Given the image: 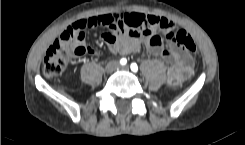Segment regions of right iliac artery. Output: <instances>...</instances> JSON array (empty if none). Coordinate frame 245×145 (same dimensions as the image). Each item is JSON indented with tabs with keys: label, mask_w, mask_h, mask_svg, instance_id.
I'll return each instance as SVG.
<instances>
[{
	"label": "right iliac artery",
	"mask_w": 245,
	"mask_h": 145,
	"mask_svg": "<svg viewBox=\"0 0 245 145\" xmlns=\"http://www.w3.org/2000/svg\"><path fill=\"white\" fill-rule=\"evenodd\" d=\"M126 63H127V60H126L125 58H122V59L120 60V64H121V65H126Z\"/></svg>",
	"instance_id": "1"
}]
</instances>
